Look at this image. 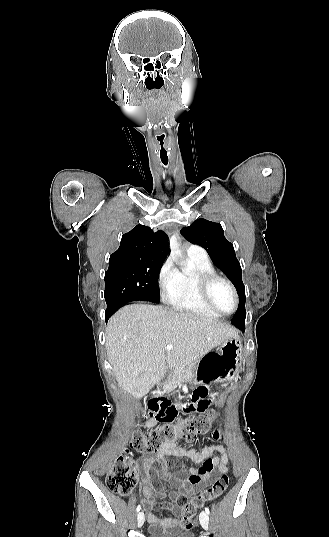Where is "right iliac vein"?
I'll return each mask as SVG.
<instances>
[{
  "label": "right iliac vein",
  "instance_id": "obj_1",
  "mask_svg": "<svg viewBox=\"0 0 329 537\" xmlns=\"http://www.w3.org/2000/svg\"><path fill=\"white\" fill-rule=\"evenodd\" d=\"M144 521H145L144 513L143 512L138 513V515H137L138 527H141L144 524Z\"/></svg>",
  "mask_w": 329,
  "mask_h": 537
}]
</instances>
